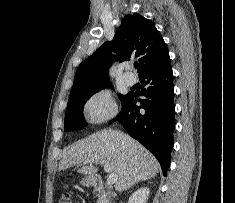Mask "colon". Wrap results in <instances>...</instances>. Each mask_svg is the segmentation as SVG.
Returning a JSON list of instances; mask_svg holds the SVG:
<instances>
[{"label":"colon","instance_id":"1","mask_svg":"<svg viewBox=\"0 0 235 203\" xmlns=\"http://www.w3.org/2000/svg\"><path fill=\"white\" fill-rule=\"evenodd\" d=\"M59 203H72V200L69 195H63L59 200Z\"/></svg>","mask_w":235,"mask_h":203}]
</instances>
